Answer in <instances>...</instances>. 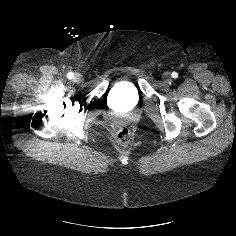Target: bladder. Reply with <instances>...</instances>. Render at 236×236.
Returning a JSON list of instances; mask_svg holds the SVG:
<instances>
[{
    "label": "bladder",
    "instance_id": "bladder-1",
    "mask_svg": "<svg viewBox=\"0 0 236 236\" xmlns=\"http://www.w3.org/2000/svg\"><path fill=\"white\" fill-rule=\"evenodd\" d=\"M139 101L137 89L130 83H120L113 87L109 103L118 113H127L134 109Z\"/></svg>",
    "mask_w": 236,
    "mask_h": 236
}]
</instances>
